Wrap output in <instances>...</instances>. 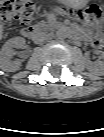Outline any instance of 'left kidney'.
<instances>
[{
    "instance_id": "5707ae66",
    "label": "left kidney",
    "mask_w": 104,
    "mask_h": 137,
    "mask_svg": "<svg viewBox=\"0 0 104 137\" xmlns=\"http://www.w3.org/2000/svg\"><path fill=\"white\" fill-rule=\"evenodd\" d=\"M104 67L103 61H96L94 64H89L92 71H102Z\"/></svg>"
}]
</instances>
